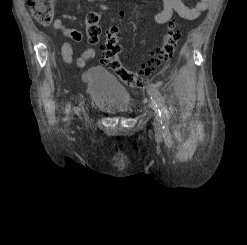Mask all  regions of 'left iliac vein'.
<instances>
[{
  "label": "left iliac vein",
  "mask_w": 247,
  "mask_h": 245,
  "mask_svg": "<svg viewBox=\"0 0 247 245\" xmlns=\"http://www.w3.org/2000/svg\"><path fill=\"white\" fill-rule=\"evenodd\" d=\"M154 111H155V119H154V128L156 131L160 132L161 131V121L160 118L157 114V110L154 106H152Z\"/></svg>",
  "instance_id": "obj_1"
}]
</instances>
